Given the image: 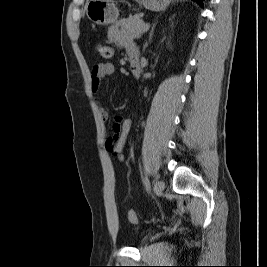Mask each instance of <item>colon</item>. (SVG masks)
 Here are the masks:
<instances>
[{
	"label": "colon",
	"mask_w": 267,
	"mask_h": 267,
	"mask_svg": "<svg viewBox=\"0 0 267 267\" xmlns=\"http://www.w3.org/2000/svg\"><path fill=\"white\" fill-rule=\"evenodd\" d=\"M96 51H97V54L105 60H109L113 56L112 47L109 45H106V44H101V43L97 44ZM127 218L129 220V222H131L133 224L138 223V215H137L136 211H134L133 209H130L127 211Z\"/></svg>",
	"instance_id": "colon-1"
}]
</instances>
